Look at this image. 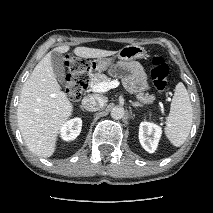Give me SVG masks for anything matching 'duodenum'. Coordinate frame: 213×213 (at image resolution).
Masks as SVG:
<instances>
[{"label": "duodenum", "mask_w": 213, "mask_h": 213, "mask_svg": "<svg viewBox=\"0 0 213 213\" xmlns=\"http://www.w3.org/2000/svg\"><path fill=\"white\" fill-rule=\"evenodd\" d=\"M88 84H89V77H88V80H87V83H86L85 89L88 87Z\"/></svg>", "instance_id": "duodenum-1"}]
</instances>
